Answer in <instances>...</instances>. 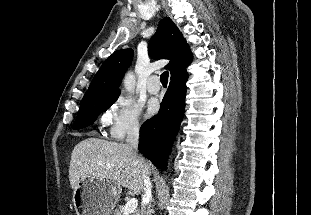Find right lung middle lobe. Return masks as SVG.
I'll return each instance as SVG.
<instances>
[{
    "instance_id": "right-lung-middle-lobe-1",
    "label": "right lung middle lobe",
    "mask_w": 311,
    "mask_h": 215,
    "mask_svg": "<svg viewBox=\"0 0 311 215\" xmlns=\"http://www.w3.org/2000/svg\"><path fill=\"white\" fill-rule=\"evenodd\" d=\"M117 99L118 96H103L80 103L73 129H81L93 124L100 113L107 110Z\"/></svg>"
}]
</instances>
